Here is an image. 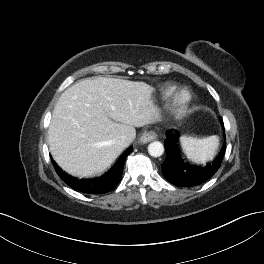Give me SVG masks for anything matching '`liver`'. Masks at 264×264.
Segmentation results:
<instances>
[{
  "label": "liver",
  "instance_id": "obj_1",
  "mask_svg": "<svg viewBox=\"0 0 264 264\" xmlns=\"http://www.w3.org/2000/svg\"><path fill=\"white\" fill-rule=\"evenodd\" d=\"M154 88L144 82L86 78L67 88L54 107L48 131L50 152L70 174L91 176L108 169L130 144L135 127L159 120Z\"/></svg>",
  "mask_w": 264,
  "mask_h": 264
}]
</instances>
